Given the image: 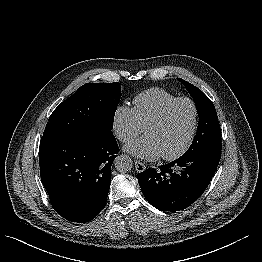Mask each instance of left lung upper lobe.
<instances>
[{
  "label": "left lung upper lobe",
  "instance_id": "5c2ea615",
  "mask_svg": "<svg viewBox=\"0 0 262 262\" xmlns=\"http://www.w3.org/2000/svg\"><path fill=\"white\" fill-rule=\"evenodd\" d=\"M178 80L192 96L199 116L196 136L185 154L206 150L221 151L220 125L214 104L200 89L183 79Z\"/></svg>",
  "mask_w": 262,
  "mask_h": 262
}]
</instances>
